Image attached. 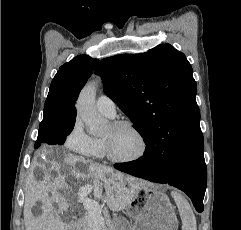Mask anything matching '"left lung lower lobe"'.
<instances>
[{"label": "left lung lower lobe", "mask_w": 241, "mask_h": 230, "mask_svg": "<svg viewBox=\"0 0 241 230\" xmlns=\"http://www.w3.org/2000/svg\"><path fill=\"white\" fill-rule=\"evenodd\" d=\"M114 167L152 182L168 183L185 192L198 212L203 211L207 185V167L203 150L188 153L178 163H174L167 147L160 141H154L146 146L142 158L128 163H118Z\"/></svg>", "instance_id": "0a47b994"}]
</instances>
